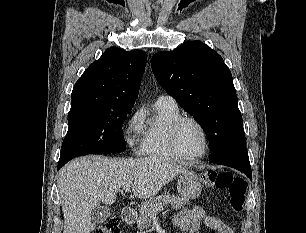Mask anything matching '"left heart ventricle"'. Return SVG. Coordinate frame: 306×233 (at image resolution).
<instances>
[{
  "label": "left heart ventricle",
  "mask_w": 306,
  "mask_h": 233,
  "mask_svg": "<svg viewBox=\"0 0 306 233\" xmlns=\"http://www.w3.org/2000/svg\"><path fill=\"white\" fill-rule=\"evenodd\" d=\"M178 147L186 156L200 155L204 150V138L200 129L193 123H185L178 133Z\"/></svg>",
  "instance_id": "b2bd125f"
}]
</instances>
